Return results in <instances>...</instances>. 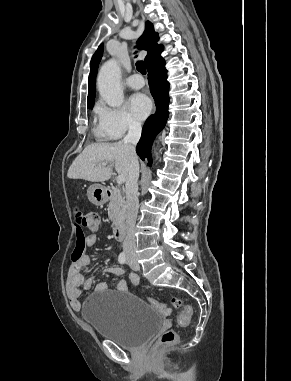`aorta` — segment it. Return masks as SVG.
Wrapping results in <instances>:
<instances>
[{
    "label": "aorta",
    "instance_id": "aorta-1",
    "mask_svg": "<svg viewBox=\"0 0 291 381\" xmlns=\"http://www.w3.org/2000/svg\"><path fill=\"white\" fill-rule=\"evenodd\" d=\"M121 68L115 59L105 62L97 78L100 96L110 107H120L124 101V93L120 85Z\"/></svg>",
    "mask_w": 291,
    "mask_h": 381
}]
</instances>
